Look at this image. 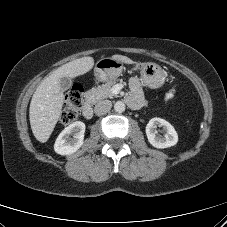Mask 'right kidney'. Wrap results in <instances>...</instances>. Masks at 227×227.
I'll return each mask as SVG.
<instances>
[{
    "label": "right kidney",
    "mask_w": 227,
    "mask_h": 227,
    "mask_svg": "<svg viewBox=\"0 0 227 227\" xmlns=\"http://www.w3.org/2000/svg\"><path fill=\"white\" fill-rule=\"evenodd\" d=\"M85 128V124L81 121H76L66 127L55 141V152L60 155L76 152L83 145Z\"/></svg>",
    "instance_id": "obj_1"
}]
</instances>
